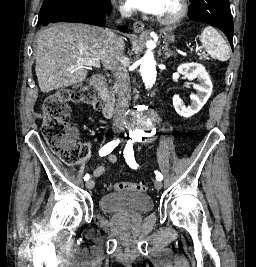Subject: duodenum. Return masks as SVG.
Instances as JSON below:
<instances>
[{
  "instance_id": "1",
  "label": "duodenum",
  "mask_w": 256,
  "mask_h": 267,
  "mask_svg": "<svg viewBox=\"0 0 256 267\" xmlns=\"http://www.w3.org/2000/svg\"><path fill=\"white\" fill-rule=\"evenodd\" d=\"M92 85L104 103L103 116L111 118L115 113L116 101L108 88L106 79L102 76H96L92 80Z\"/></svg>"
}]
</instances>
